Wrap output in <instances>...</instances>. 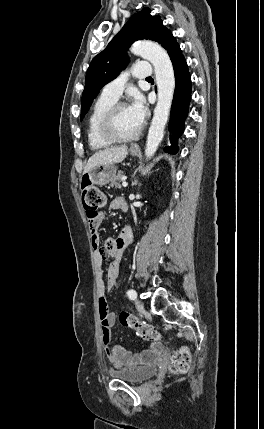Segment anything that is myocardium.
Listing matches in <instances>:
<instances>
[{
	"mask_svg": "<svg viewBox=\"0 0 264 429\" xmlns=\"http://www.w3.org/2000/svg\"><path fill=\"white\" fill-rule=\"evenodd\" d=\"M124 107H127L125 102H115L104 114L100 125V135L111 143H125L136 140L143 131V125L141 124L139 129L131 136L123 137L116 133L114 129V121L118 111Z\"/></svg>",
	"mask_w": 264,
	"mask_h": 429,
	"instance_id": "myocardium-1",
	"label": "myocardium"
}]
</instances>
